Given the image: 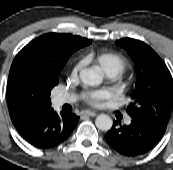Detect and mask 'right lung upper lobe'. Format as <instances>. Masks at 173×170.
<instances>
[{"label":"right lung upper lobe","instance_id":"right-lung-upper-lobe-1","mask_svg":"<svg viewBox=\"0 0 173 170\" xmlns=\"http://www.w3.org/2000/svg\"><path fill=\"white\" fill-rule=\"evenodd\" d=\"M91 43L80 36L44 34L28 43L14 58L7 84L11 119L51 108L50 93L69 57Z\"/></svg>","mask_w":173,"mask_h":170}]
</instances>
